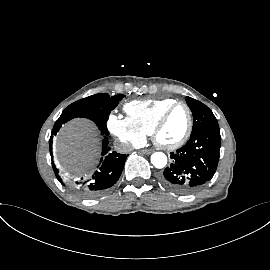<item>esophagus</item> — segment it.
Returning a JSON list of instances; mask_svg holds the SVG:
<instances>
[{"instance_id": "obj_1", "label": "esophagus", "mask_w": 270, "mask_h": 270, "mask_svg": "<svg viewBox=\"0 0 270 270\" xmlns=\"http://www.w3.org/2000/svg\"><path fill=\"white\" fill-rule=\"evenodd\" d=\"M141 152L144 153V154H151L153 152V150H151V149H143Z\"/></svg>"}]
</instances>
